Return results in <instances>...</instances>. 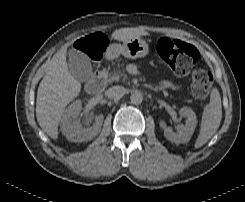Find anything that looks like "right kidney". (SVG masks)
Segmentation results:
<instances>
[{
	"mask_svg": "<svg viewBox=\"0 0 245 202\" xmlns=\"http://www.w3.org/2000/svg\"><path fill=\"white\" fill-rule=\"evenodd\" d=\"M81 110V101H74L64 112L60 119V126L63 135L72 142L90 141L101 131L103 115L95 117V121L90 126L91 121L85 122L86 127H82L78 118Z\"/></svg>",
	"mask_w": 245,
	"mask_h": 202,
	"instance_id": "1",
	"label": "right kidney"
}]
</instances>
